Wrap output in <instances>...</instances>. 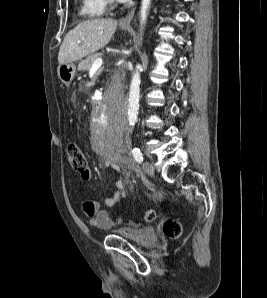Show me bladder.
<instances>
[{"instance_id": "1", "label": "bladder", "mask_w": 267, "mask_h": 298, "mask_svg": "<svg viewBox=\"0 0 267 298\" xmlns=\"http://www.w3.org/2000/svg\"><path fill=\"white\" fill-rule=\"evenodd\" d=\"M116 235H119L142 247L153 246L158 241L156 230L150 226L130 228L128 233L116 231Z\"/></svg>"}]
</instances>
